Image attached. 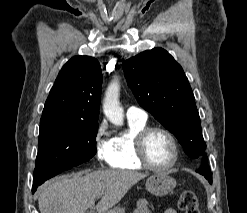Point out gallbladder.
<instances>
[{
  "instance_id": "bac80fb5",
  "label": "gallbladder",
  "mask_w": 247,
  "mask_h": 213,
  "mask_svg": "<svg viewBox=\"0 0 247 213\" xmlns=\"http://www.w3.org/2000/svg\"><path fill=\"white\" fill-rule=\"evenodd\" d=\"M86 213H94L93 210H88Z\"/></svg>"
}]
</instances>
